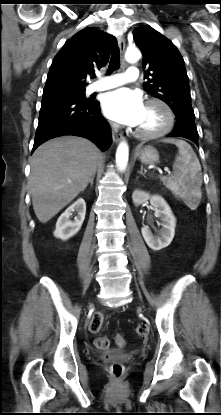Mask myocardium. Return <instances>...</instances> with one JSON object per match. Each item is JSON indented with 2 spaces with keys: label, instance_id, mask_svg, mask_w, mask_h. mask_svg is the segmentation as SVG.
Masks as SVG:
<instances>
[{
  "label": "myocardium",
  "instance_id": "1",
  "mask_svg": "<svg viewBox=\"0 0 221 415\" xmlns=\"http://www.w3.org/2000/svg\"><path fill=\"white\" fill-rule=\"evenodd\" d=\"M157 104L161 106L166 114V122L164 126L154 132H143L139 129L135 130L136 136L142 139H155L166 135L174 126L175 123V114L171 108V106L164 100L159 98H151L147 100L146 105Z\"/></svg>",
  "mask_w": 221,
  "mask_h": 415
}]
</instances>
